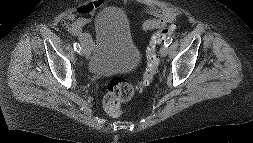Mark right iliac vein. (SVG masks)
Here are the masks:
<instances>
[{"label": "right iliac vein", "mask_w": 253, "mask_h": 143, "mask_svg": "<svg viewBox=\"0 0 253 143\" xmlns=\"http://www.w3.org/2000/svg\"><path fill=\"white\" fill-rule=\"evenodd\" d=\"M79 54L81 56H87L89 54V49L85 45L82 44Z\"/></svg>", "instance_id": "obj_1"}]
</instances>
